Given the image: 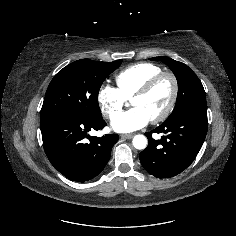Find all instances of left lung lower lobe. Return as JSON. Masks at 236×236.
Listing matches in <instances>:
<instances>
[{
	"instance_id": "1",
	"label": "left lung lower lobe",
	"mask_w": 236,
	"mask_h": 236,
	"mask_svg": "<svg viewBox=\"0 0 236 236\" xmlns=\"http://www.w3.org/2000/svg\"><path fill=\"white\" fill-rule=\"evenodd\" d=\"M207 126V108L196 107L145 133L149 145L139 154L143 167L158 178H170L181 173L198 154ZM152 133L166 135L161 140H154Z\"/></svg>"
}]
</instances>
